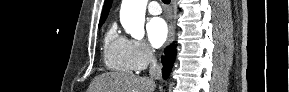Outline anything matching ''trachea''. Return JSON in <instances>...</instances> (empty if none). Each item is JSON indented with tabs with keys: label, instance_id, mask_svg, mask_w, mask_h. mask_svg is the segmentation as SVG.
I'll use <instances>...</instances> for the list:
<instances>
[{
	"label": "trachea",
	"instance_id": "3493384b",
	"mask_svg": "<svg viewBox=\"0 0 289 92\" xmlns=\"http://www.w3.org/2000/svg\"><path fill=\"white\" fill-rule=\"evenodd\" d=\"M163 1V3H165V4H169L170 3V0H162Z\"/></svg>",
	"mask_w": 289,
	"mask_h": 92
}]
</instances>
